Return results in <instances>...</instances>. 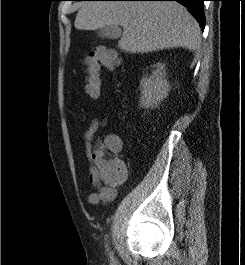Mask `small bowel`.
I'll return each mask as SVG.
<instances>
[{
    "label": "small bowel",
    "instance_id": "1",
    "mask_svg": "<svg viewBox=\"0 0 245 265\" xmlns=\"http://www.w3.org/2000/svg\"><path fill=\"white\" fill-rule=\"evenodd\" d=\"M105 119L94 118L86 132L84 133V152L91 162L89 180L94 188L95 192L87 196V201L91 204L109 203L115 200L118 195L119 188L124 182L125 175L117 180H110L106 178L94 165V155L96 152L104 146L109 138L114 135L106 137L103 142H99L97 145L93 144L96 132L103 126H105Z\"/></svg>",
    "mask_w": 245,
    "mask_h": 265
}]
</instances>
